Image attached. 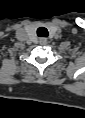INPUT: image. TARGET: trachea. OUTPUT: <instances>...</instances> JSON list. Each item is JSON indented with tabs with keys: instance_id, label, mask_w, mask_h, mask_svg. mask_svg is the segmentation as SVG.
<instances>
[{
	"instance_id": "obj_1",
	"label": "trachea",
	"mask_w": 85,
	"mask_h": 118,
	"mask_svg": "<svg viewBox=\"0 0 85 118\" xmlns=\"http://www.w3.org/2000/svg\"><path fill=\"white\" fill-rule=\"evenodd\" d=\"M37 36L48 37V30L45 27H39L37 29Z\"/></svg>"
}]
</instances>
